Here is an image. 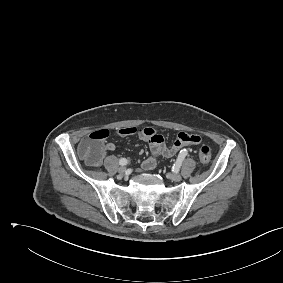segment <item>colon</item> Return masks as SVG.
<instances>
[{
  "label": "colon",
  "instance_id": "obj_1",
  "mask_svg": "<svg viewBox=\"0 0 283 283\" xmlns=\"http://www.w3.org/2000/svg\"><path fill=\"white\" fill-rule=\"evenodd\" d=\"M108 137L107 130H97L86 136L79 144L81 157L90 165H98L103 157V142ZM199 160L202 164L211 161L212 153L208 145H202L198 151Z\"/></svg>",
  "mask_w": 283,
  "mask_h": 283
}]
</instances>
